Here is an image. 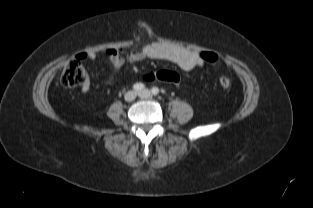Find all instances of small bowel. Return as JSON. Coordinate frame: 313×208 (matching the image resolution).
<instances>
[{
    "mask_svg": "<svg viewBox=\"0 0 313 208\" xmlns=\"http://www.w3.org/2000/svg\"><path fill=\"white\" fill-rule=\"evenodd\" d=\"M96 57L97 54L95 52H87L79 55L80 59L93 60ZM105 57L114 71L120 70L126 63H135L145 59L165 60L177 65L184 71L201 67L205 63L198 52L170 47L157 42L145 45L129 53H125L120 49H108L105 52ZM89 88L90 84L86 82L82 87V93H87Z\"/></svg>",
    "mask_w": 313,
    "mask_h": 208,
    "instance_id": "obj_1",
    "label": "small bowel"
}]
</instances>
